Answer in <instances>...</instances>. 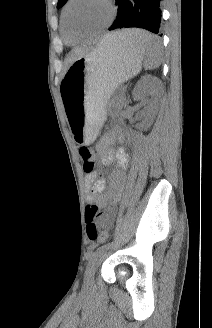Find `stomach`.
Returning a JSON list of instances; mask_svg holds the SVG:
<instances>
[{"mask_svg": "<svg viewBox=\"0 0 212 328\" xmlns=\"http://www.w3.org/2000/svg\"><path fill=\"white\" fill-rule=\"evenodd\" d=\"M144 56L143 50L120 44L113 34L69 66L60 91L66 120L78 143H90L96 138L110 96L139 73Z\"/></svg>", "mask_w": 212, "mask_h": 328, "instance_id": "1", "label": "stomach"}]
</instances>
